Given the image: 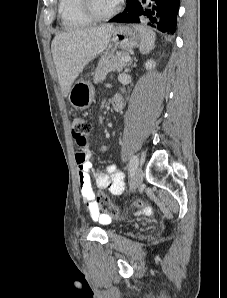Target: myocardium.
<instances>
[{
    "mask_svg": "<svg viewBox=\"0 0 227 298\" xmlns=\"http://www.w3.org/2000/svg\"><path fill=\"white\" fill-rule=\"evenodd\" d=\"M82 10L92 21H106L114 17L121 10L122 0H119L116 6L106 14H99L95 11L92 0H81Z\"/></svg>",
    "mask_w": 227,
    "mask_h": 298,
    "instance_id": "obj_1",
    "label": "myocardium"
}]
</instances>
